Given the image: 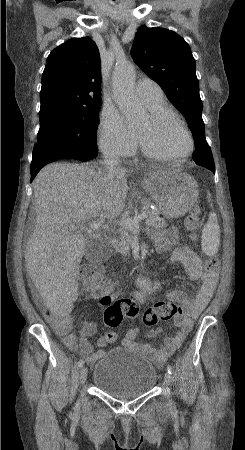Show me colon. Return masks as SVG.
<instances>
[{
	"instance_id": "colon-1",
	"label": "colon",
	"mask_w": 245,
	"mask_h": 450,
	"mask_svg": "<svg viewBox=\"0 0 245 450\" xmlns=\"http://www.w3.org/2000/svg\"><path fill=\"white\" fill-rule=\"evenodd\" d=\"M199 208L194 207L192 213L186 220V228L191 233L192 239L196 240V231L199 228ZM206 271L210 274H217L220 269L219 260L215 257L208 258L205 262ZM103 266L98 262H89L81 269V281L86 287H96L101 284L100 276L103 273ZM107 305L104 312V323L108 328L119 326L124 318L134 319L138 313V308L131 300H104ZM183 311L179 304L170 301H162L148 308L142 315V323L146 327H155L159 322L169 320H182ZM45 320L60 332L66 331L72 324L68 315L58 314L52 311L44 312ZM108 342L116 338L112 331L105 333Z\"/></svg>"
}]
</instances>
